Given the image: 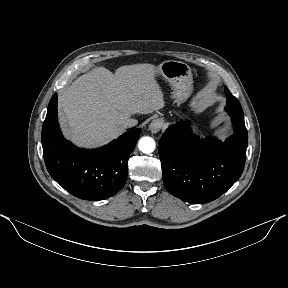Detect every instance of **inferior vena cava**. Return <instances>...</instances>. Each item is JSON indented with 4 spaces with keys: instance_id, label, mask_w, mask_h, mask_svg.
<instances>
[{
    "instance_id": "602c4592",
    "label": "inferior vena cava",
    "mask_w": 288,
    "mask_h": 288,
    "mask_svg": "<svg viewBox=\"0 0 288 288\" xmlns=\"http://www.w3.org/2000/svg\"><path fill=\"white\" fill-rule=\"evenodd\" d=\"M138 121L136 119L129 118L123 122L124 128H130L137 125Z\"/></svg>"
}]
</instances>
